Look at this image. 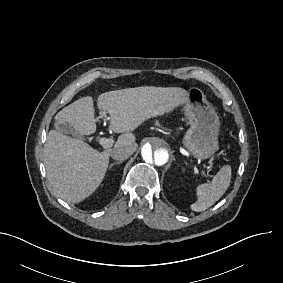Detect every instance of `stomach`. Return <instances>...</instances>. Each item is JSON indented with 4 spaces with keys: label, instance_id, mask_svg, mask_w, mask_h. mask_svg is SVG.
<instances>
[{
    "label": "stomach",
    "instance_id": "obj_1",
    "mask_svg": "<svg viewBox=\"0 0 283 283\" xmlns=\"http://www.w3.org/2000/svg\"><path fill=\"white\" fill-rule=\"evenodd\" d=\"M190 100L184 104L190 128L182 145L196 159L207 160L218 151L219 118L201 90H190Z\"/></svg>",
    "mask_w": 283,
    "mask_h": 283
}]
</instances>
